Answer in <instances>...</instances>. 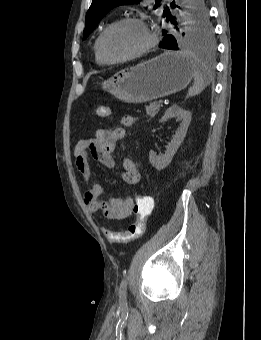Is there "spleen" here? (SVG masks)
Returning <instances> with one entry per match:
<instances>
[{
	"instance_id": "spleen-1",
	"label": "spleen",
	"mask_w": 261,
	"mask_h": 340,
	"mask_svg": "<svg viewBox=\"0 0 261 340\" xmlns=\"http://www.w3.org/2000/svg\"><path fill=\"white\" fill-rule=\"evenodd\" d=\"M194 63V85L188 90V96H195L201 93L205 87L209 84V72L205 69V67L197 62Z\"/></svg>"
}]
</instances>
